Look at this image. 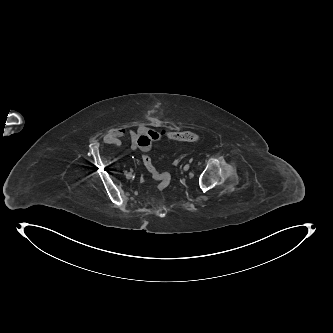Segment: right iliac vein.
<instances>
[{
	"mask_svg": "<svg viewBox=\"0 0 333 333\" xmlns=\"http://www.w3.org/2000/svg\"><path fill=\"white\" fill-rule=\"evenodd\" d=\"M126 177H127V179H131L132 175L129 173Z\"/></svg>",
	"mask_w": 333,
	"mask_h": 333,
	"instance_id": "63e3f726",
	"label": "right iliac vein"
}]
</instances>
